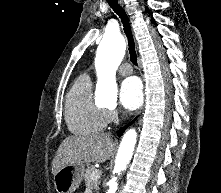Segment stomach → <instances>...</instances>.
<instances>
[{"instance_id":"1","label":"stomach","mask_w":221,"mask_h":193,"mask_svg":"<svg viewBox=\"0 0 221 193\" xmlns=\"http://www.w3.org/2000/svg\"><path fill=\"white\" fill-rule=\"evenodd\" d=\"M84 165H67L54 174V186L57 193H73L82 182Z\"/></svg>"}]
</instances>
